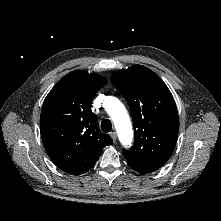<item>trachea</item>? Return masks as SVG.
<instances>
[{"label":"trachea","mask_w":221,"mask_h":221,"mask_svg":"<svg viewBox=\"0 0 221 221\" xmlns=\"http://www.w3.org/2000/svg\"><path fill=\"white\" fill-rule=\"evenodd\" d=\"M101 130L103 132H110L112 130V123L110 120L105 119L101 122Z\"/></svg>","instance_id":"3493384b"}]
</instances>
